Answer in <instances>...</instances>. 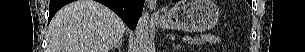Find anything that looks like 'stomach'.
Instances as JSON below:
<instances>
[{
  "mask_svg": "<svg viewBox=\"0 0 305 52\" xmlns=\"http://www.w3.org/2000/svg\"><path fill=\"white\" fill-rule=\"evenodd\" d=\"M219 16L213 0H180L156 24L164 30L202 32L212 29Z\"/></svg>",
  "mask_w": 305,
  "mask_h": 52,
  "instance_id": "stomach-1",
  "label": "stomach"
}]
</instances>
